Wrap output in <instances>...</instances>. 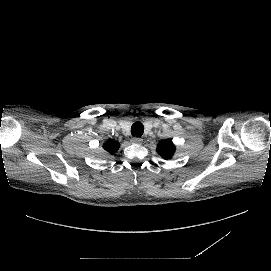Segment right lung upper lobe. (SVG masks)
<instances>
[{"mask_svg": "<svg viewBox=\"0 0 271 271\" xmlns=\"http://www.w3.org/2000/svg\"><path fill=\"white\" fill-rule=\"evenodd\" d=\"M103 147L108 153L114 154L119 148V143L113 140H109L104 144Z\"/></svg>", "mask_w": 271, "mask_h": 271, "instance_id": "1", "label": "right lung upper lobe"}]
</instances>
